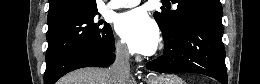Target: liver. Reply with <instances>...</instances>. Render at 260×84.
Returning <instances> with one entry per match:
<instances>
[{
  "instance_id": "obj_1",
  "label": "liver",
  "mask_w": 260,
  "mask_h": 84,
  "mask_svg": "<svg viewBox=\"0 0 260 84\" xmlns=\"http://www.w3.org/2000/svg\"><path fill=\"white\" fill-rule=\"evenodd\" d=\"M58 84H114V82L110 68L86 67L67 74ZM127 84H132V81L129 79Z\"/></svg>"
}]
</instances>
